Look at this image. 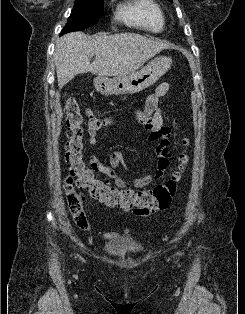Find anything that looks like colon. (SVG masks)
<instances>
[{"mask_svg": "<svg viewBox=\"0 0 245 314\" xmlns=\"http://www.w3.org/2000/svg\"><path fill=\"white\" fill-rule=\"evenodd\" d=\"M67 123V138L65 160L69 164L70 176L66 179L64 190L72 218L80 229L87 230L89 221L84 209V197L78 188L88 189L92 197L108 206H117L124 209H133L142 214H148L166 209L176 194L182 175L189 163L186 153L179 158V166L165 183L156 187L134 191L119 189L98 179L95 171L90 168L83 157L84 115L80 103L72 96L65 101ZM99 123H97L98 125ZM185 147L189 140L184 139ZM73 177L76 179L74 180Z\"/></svg>", "mask_w": 245, "mask_h": 314, "instance_id": "obj_1", "label": "colon"}]
</instances>
